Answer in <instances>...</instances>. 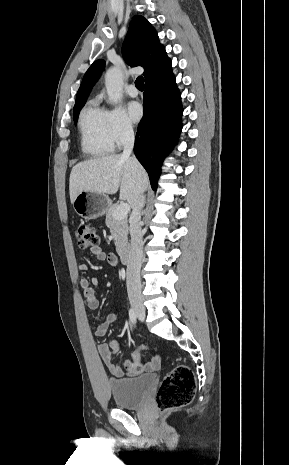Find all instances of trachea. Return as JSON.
Returning <instances> with one entry per match:
<instances>
[{
  "instance_id": "1",
  "label": "trachea",
  "mask_w": 289,
  "mask_h": 465,
  "mask_svg": "<svg viewBox=\"0 0 289 465\" xmlns=\"http://www.w3.org/2000/svg\"><path fill=\"white\" fill-rule=\"evenodd\" d=\"M135 85L137 87L138 90L142 91L144 90V79L142 76H139L136 81H135Z\"/></svg>"
}]
</instances>
